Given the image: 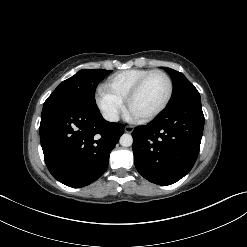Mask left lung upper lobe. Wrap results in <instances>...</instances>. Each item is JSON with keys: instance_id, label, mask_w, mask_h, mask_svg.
<instances>
[{"instance_id": "left-lung-upper-lobe-1", "label": "left lung upper lobe", "mask_w": 247, "mask_h": 247, "mask_svg": "<svg viewBox=\"0 0 247 247\" xmlns=\"http://www.w3.org/2000/svg\"><path fill=\"white\" fill-rule=\"evenodd\" d=\"M163 69L171 76L174 86L173 96L167 108L189 101H201L198 90L182 73L167 67Z\"/></svg>"}]
</instances>
